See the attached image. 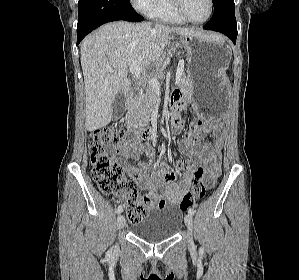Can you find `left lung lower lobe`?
<instances>
[{
    "label": "left lung lower lobe",
    "mask_w": 299,
    "mask_h": 280,
    "mask_svg": "<svg viewBox=\"0 0 299 280\" xmlns=\"http://www.w3.org/2000/svg\"><path fill=\"white\" fill-rule=\"evenodd\" d=\"M214 15L203 27L227 35L234 43L237 38L234 0H213Z\"/></svg>",
    "instance_id": "1"
}]
</instances>
